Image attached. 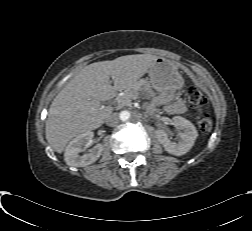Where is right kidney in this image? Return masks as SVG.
I'll return each mask as SVG.
<instances>
[{"label":"right kidney","mask_w":252,"mask_h":231,"mask_svg":"<svg viewBox=\"0 0 252 231\" xmlns=\"http://www.w3.org/2000/svg\"><path fill=\"white\" fill-rule=\"evenodd\" d=\"M93 138V132L88 131L78 135L66 147L64 153V160L67 165L74 167H84L94 163L101 156L103 146L101 144L95 145L84 155H79L83 148L88 147Z\"/></svg>","instance_id":"1"}]
</instances>
